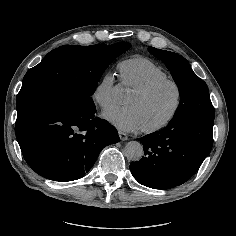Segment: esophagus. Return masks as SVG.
Wrapping results in <instances>:
<instances>
[{
    "instance_id": "1",
    "label": "esophagus",
    "mask_w": 236,
    "mask_h": 236,
    "mask_svg": "<svg viewBox=\"0 0 236 236\" xmlns=\"http://www.w3.org/2000/svg\"><path fill=\"white\" fill-rule=\"evenodd\" d=\"M119 137L122 141H125L128 139V136L126 133L122 132V131H118Z\"/></svg>"
}]
</instances>
